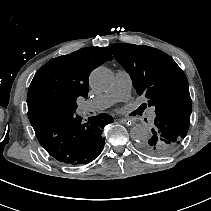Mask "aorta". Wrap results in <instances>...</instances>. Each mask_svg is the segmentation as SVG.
Wrapping results in <instances>:
<instances>
[{
	"label": "aorta",
	"mask_w": 211,
	"mask_h": 211,
	"mask_svg": "<svg viewBox=\"0 0 211 211\" xmlns=\"http://www.w3.org/2000/svg\"><path fill=\"white\" fill-rule=\"evenodd\" d=\"M89 82L92 89L106 91L113 83V74L106 67H98L91 73ZM130 136L136 142H143L150 137V132L144 125L137 124L131 128Z\"/></svg>",
	"instance_id": "obj_1"
}]
</instances>
